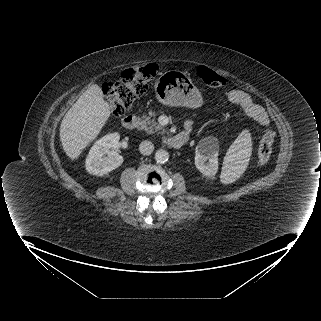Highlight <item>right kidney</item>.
Returning <instances> with one entry per match:
<instances>
[{
    "label": "right kidney",
    "mask_w": 321,
    "mask_h": 321,
    "mask_svg": "<svg viewBox=\"0 0 321 321\" xmlns=\"http://www.w3.org/2000/svg\"><path fill=\"white\" fill-rule=\"evenodd\" d=\"M119 138V134L115 132L103 136L94 143L86 158V170L90 174L103 176L123 163V157L112 150Z\"/></svg>",
    "instance_id": "obj_1"
}]
</instances>
